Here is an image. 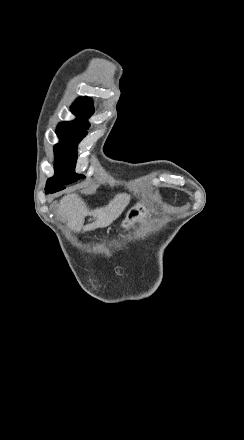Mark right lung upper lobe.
Segmentation results:
<instances>
[{"label": "right lung upper lobe", "instance_id": "right-lung-upper-lobe-1", "mask_svg": "<svg viewBox=\"0 0 244 440\" xmlns=\"http://www.w3.org/2000/svg\"><path fill=\"white\" fill-rule=\"evenodd\" d=\"M72 110H94L93 102L88 97H80L72 105Z\"/></svg>", "mask_w": 244, "mask_h": 440}]
</instances>
